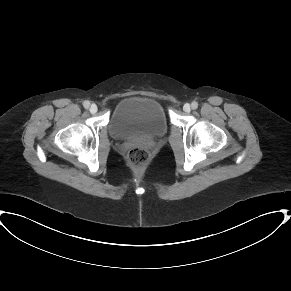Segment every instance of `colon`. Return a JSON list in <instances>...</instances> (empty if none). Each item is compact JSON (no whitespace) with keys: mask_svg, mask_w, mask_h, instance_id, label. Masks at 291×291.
Segmentation results:
<instances>
[{"mask_svg":"<svg viewBox=\"0 0 291 291\" xmlns=\"http://www.w3.org/2000/svg\"><path fill=\"white\" fill-rule=\"evenodd\" d=\"M150 156V151L146 147L137 146L128 152L127 161L135 173L143 174L150 161Z\"/></svg>","mask_w":291,"mask_h":291,"instance_id":"colon-1","label":"colon"}]
</instances>
